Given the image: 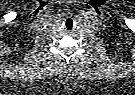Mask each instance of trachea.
Returning a JSON list of instances; mask_svg holds the SVG:
<instances>
[{
	"instance_id": "obj_1",
	"label": "trachea",
	"mask_w": 135,
	"mask_h": 95,
	"mask_svg": "<svg viewBox=\"0 0 135 95\" xmlns=\"http://www.w3.org/2000/svg\"><path fill=\"white\" fill-rule=\"evenodd\" d=\"M65 25H66V27H67L68 30H71L72 27H73V21H72V19H71V18H68V19L66 20Z\"/></svg>"
}]
</instances>
